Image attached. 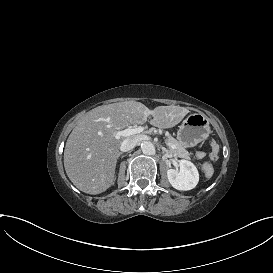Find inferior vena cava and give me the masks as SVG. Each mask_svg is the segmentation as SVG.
<instances>
[{
    "instance_id": "1",
    "label": "inferior vena cava",
    "mask_w": 273,
    "mask_h": 273,
    "mask_svg": "<svg viewBox=\"0 0 273 273\" xmlns=\"http://www.w3.org/2000/svg\"><path fill=\"white\" fill-rule=\"evenodd\" d=\"M142 141L140 136H134L131 138L126 139L122 145H121V151L122 152H128L132 149H134L137 144H139Z\"/></svg>"
}]
</instances>
